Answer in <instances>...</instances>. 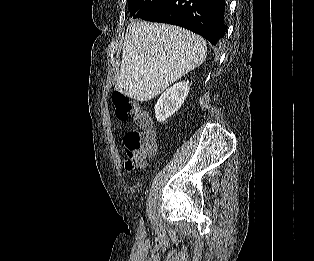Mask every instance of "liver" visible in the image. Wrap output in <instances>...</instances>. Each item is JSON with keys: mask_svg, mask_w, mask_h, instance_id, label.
Returning <instances> with one entry per match:
<instances>
[{"mask_svg": "<svg viewBox=\"0 0 314 261\" xmlns=\"http://www.w3.org/2000/svg\"><path fill=\"white\" fill-rule=\"evenodd\" d=\"M205 40L178 26L132 20L127 27L115 90L143 102L199 67Z\"/></svg>", "mask_w": 314, "mask_h": 261, "instance_id": "6515ba94", "label": "liver"}]
</instances>
